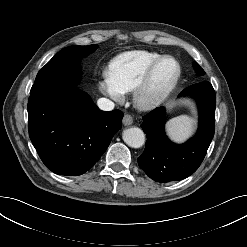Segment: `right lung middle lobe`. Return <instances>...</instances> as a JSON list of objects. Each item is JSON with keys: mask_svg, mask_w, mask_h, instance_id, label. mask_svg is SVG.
Wrapping results in <instances>:
<instances>
[{"mask_svg": "<svg viewBox=\"0 0 247 247\" xmlns=\"http://www.w3.org/2000/svg\"><path fill=\"white\" fill-rule=\"evenodd\" d=\"M97 45L69 46L59 51L37 74L32 88L75 87L80 81V60Z\"/></svg>", "mask_w": 247, "mask_h": 247, "instance_id": "dd1d6c3e", "label": "right lung middle lobe"}]
</instances>
